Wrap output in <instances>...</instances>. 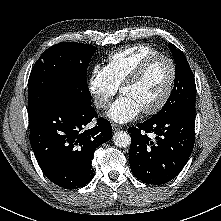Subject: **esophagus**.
<instances>
[{
  "mask_svg": "<svg viewBox=\"0 0 221 221\" xmlns=\"http://www.w3.org/2000/svg\"><path fill=\"white\" fill-rule=\"evenodd\" d=\"M112 129L114 131H118V130H121L122 129V126L116 124V123H112Z\"/></svg>",
  "mask_w": 221,
  "mask_h": 221,
  "instance_id": "obj_1",
  "label": "esophagus"
}]
</instances>
